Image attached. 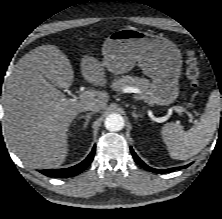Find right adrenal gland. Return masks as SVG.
I'll return each mask as SVG.
<instances>
[{"instance_id": "right-adrenal-gland-1", "label": "right adrenal gland", "mask_w": 222, "mask_h": 219, "mask_svg": "<svg viewBox=\"0 0 222 219\" xmlns=\"http://www.w3.org/2000/svg\"><path fill=\"white\" fill-rule=\"evenodd\" d=\"M95 112H91L87 115H82L80 117H78V119H82V118H85V122H84V126H83V129H85L91 119V116L94 114Z\"/></svg>"}]
</instances>
